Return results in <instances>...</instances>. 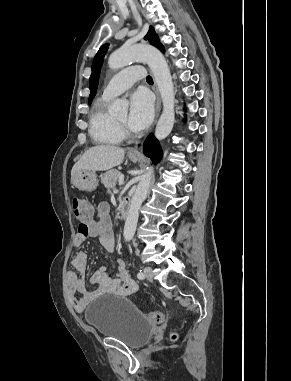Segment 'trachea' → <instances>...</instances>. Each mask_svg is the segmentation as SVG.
Masks as SVG:
<instances>
[{"mask_svg":"<svg viewBox=\"0 0 291 381\" xmlns=\"http://www.w3.org/2000/svg\"><path fill=\"white\" fill-rule=\"evenodd\" d=\"M146 81H147L148 83H150V84L153 83V79H152L151 76H147V77H146Z\"/></svg>","mask_w":291,"mask_h":381,"instance_id":"3493384b","label":"trachea"}]
</instances>
